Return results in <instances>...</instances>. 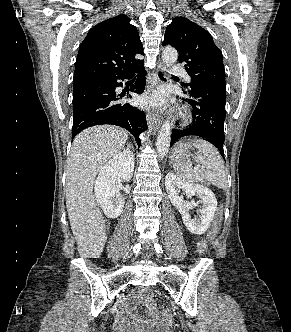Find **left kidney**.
<instances>
[{
	"instance_id": "obj_1",
	"label": "left kidney",
	"mask_w": 291,
	"mask_h": 332,
	"mask_svg": "<svg viewBox=\"0 0 291 332\" xmlns=\"http://www.w3.org/2000/svg\"><path fill=\"white\" fill-rule=\"evenodd\" d=\"M165 188L171 203L178 209L182 215L183 223L186 228L193 234L201 235L207 231L217 209V200L215 194L206 186L194 184L181 180L173 172H169L165 177ZM199 197V202L184 201L183 195ZM202 203V208L199 210V217L194 219L188 213V210L197 207Z\"/></svg>"
}]
</instances>
